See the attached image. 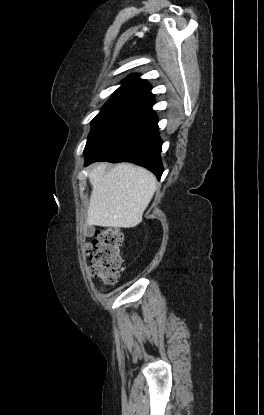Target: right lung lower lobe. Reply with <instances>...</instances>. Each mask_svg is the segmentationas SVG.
Returning a JSON list of instances; mask_svg holds the SVG:
<instances>
[{
  "label": "right lung lower lobe",
  "instance_id": "right-lung-lower-lobe-1",
  "mask_svg": "<svg viewBox=\"0 0 264 415\" xmlns=\"http://www.w3.org/2000/svg\"><path fill=\"white\" fill-rule=\"evenodd\" d=\"M154 101H144L130 110L84 149L85 166L96 161L131 162L149 169L160 179L162 141L158 117L152 110Z\"/></svg>",
  "mask_w": 264,
  "mask_h": 415
}]
</instances>
